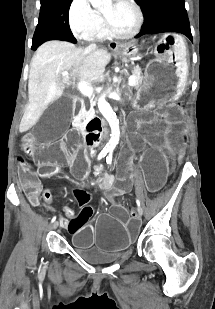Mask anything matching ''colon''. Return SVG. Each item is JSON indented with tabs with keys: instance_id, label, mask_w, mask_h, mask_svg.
<instances>
[{
	"instance_id": "5ec220e1",
	"label": "colon",
	"mask_w": 215,
	"mask_h": 309,
	"mask_svg": "<svg viewBox=\"0 0 215 309\" xmlns=\"http://www.w3.org/2000/svg\"><path fill=\"white\" fill-rule=\"evenodd\" d=\"M40 153V150L35 151V154L38 155ZM42 157H47V156H42ZM20 162L24 164L26 160L21 157ZM56 169V161L55 160H48L44 159L40 162L39 170L41 173H51L55 171ZM51 192L49 189L44 190L43 192V199L44 200H49L51 199ZM94 213V209L92 207H87L84 212L82 213V218L88 219L92 214Z\"/></svg>"
}]
</instances>
